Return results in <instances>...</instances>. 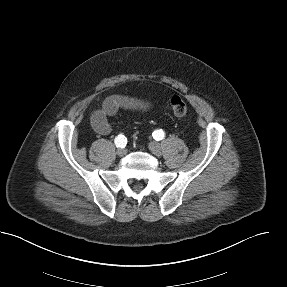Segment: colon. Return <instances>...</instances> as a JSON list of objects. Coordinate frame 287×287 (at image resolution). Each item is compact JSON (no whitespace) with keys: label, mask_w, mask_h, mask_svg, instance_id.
<instances>
[{"label":"colon","mask_w":287,"mask_h":287,"mask_svg":"<svg viewBox=\"0 0 287 287\" xmlns=\"http://www.w3.org/2000/svg\"><path fill=\"white\" fill-rule=\"evenodd\" d=\"M169 106L174 115L178 117L185 116L188 112L186 102L180 96L177 95H174L169 99Z\"/></svg>","instance_id":"5ec220e1"}]
</instances>
